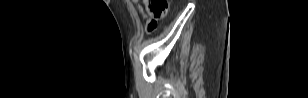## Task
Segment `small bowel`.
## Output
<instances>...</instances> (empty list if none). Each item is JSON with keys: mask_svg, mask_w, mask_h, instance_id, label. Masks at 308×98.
<instances>
[{"mask_svg": "<svg viewBox=\"0 0 308 98\" xmlns=\"http://www.w3.org/2000/svg\"><path fill=\"white\" fill-rule=\"evenodd\" d=\"M134 3L136 4V5H138L139 6V8L141 9V5H140V3H139V1L138 0H134ZM154 30V29H153ZM148 31H152V30H149L148 29Z\"/></svg>", "mask_w": 308, "mask_h": 98, "instance_id": "small-bowel-1", "label": "small bowel"}]
</instances>
